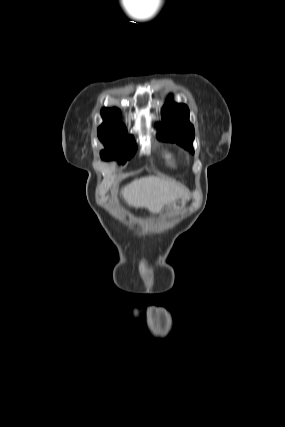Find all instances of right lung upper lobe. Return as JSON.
<instances>
[{"instance_id":"obj_1","label":"right lung upper lobe","mask_w":285,"mask_h":427,"mask_svg":"<svg viewBox=\"0 0 285 427\" xmlns=\"http://www.w3.org/2000/svg\"><path fill=\"white\" fill-rule=\"evenodd\" d=\"M101 115L104 120V123L98 128L99 133L126 130L125 126L120 120V113L116 108H103L101 110Z\"/></svg>"}]
</instances>
